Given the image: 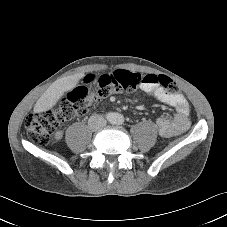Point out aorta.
<instances>
[{
    "mask_svg": "<svg viewBox=\"0 0 227 227\" xmlns=\"http://www.w3.org/2000/svg\"><path fill=\"white\" fill-rule=\"evenodd\" d=\"M110 122L115 125H121L124 122V117L120 113H112L110 116Z\"/></svg>",
    "mask_w": 227,
    "mask_h": 227,
    "instance_id": "762f6f07",
    "label": "aorta"
}]
</instances>
